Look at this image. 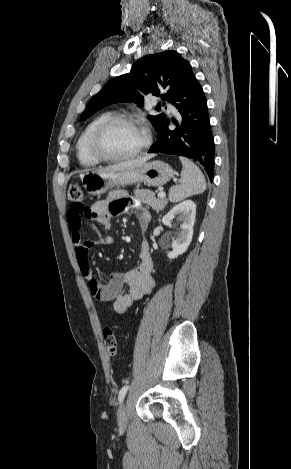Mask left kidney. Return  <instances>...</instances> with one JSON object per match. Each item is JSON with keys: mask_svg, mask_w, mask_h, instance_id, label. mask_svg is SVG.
Listing matches in <instances>:
<instances>
[{"mask_svg": "<svg viewBox=\"0 0 291 469\" xmlns=\"http://www.w3.org/2000/svg\"><path fill=\"white\" fill-rule=\"evenodd\" d=\"M196 216V205L191 200H186L174 206L163 218L162 223L171 226V221L177 217L182 222L180 230L172 240V251L168 253V258L174 259L186 252L193 236V226Z\"/></svg>", "mask_w": 291, "mask_h": 469, "instance_id": "5707ae66", "label": "left kidney"}]
</instances>
